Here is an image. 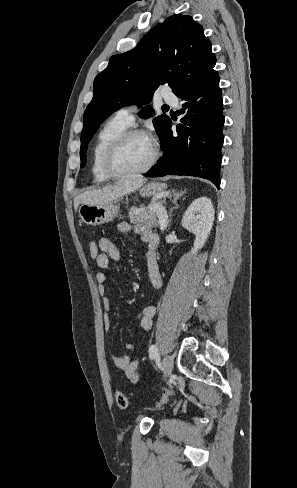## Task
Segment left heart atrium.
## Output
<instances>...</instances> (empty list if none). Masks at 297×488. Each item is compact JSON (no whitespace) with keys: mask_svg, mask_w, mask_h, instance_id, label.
Here are the masks:
<instances>
[{"mask_svg":"<svg viewBox=\"0 0 297 488\" xmlns=\"http://www.w3.org/2000/svg\"><path fill=\"white\" fill-rule=\"evenodd\" d=\"M149 139L151 140L152 143H154L155 139L152 136H149Z\"/></svg>","mask_w":297,"mask_h":488,"instance_id":"1","label":"left heart atrium"}]
</instances>
